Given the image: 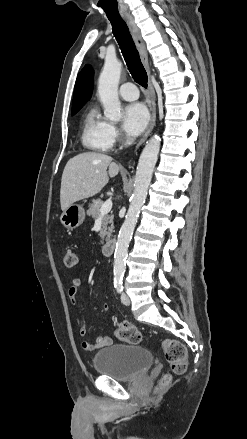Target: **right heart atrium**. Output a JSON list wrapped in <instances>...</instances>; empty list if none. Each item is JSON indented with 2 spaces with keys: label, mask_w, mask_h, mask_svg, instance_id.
Returning a JSON list of instances; mask_svg holds the SVG:
<instances>
[{
  "label": "right heart atrium",
  "mask_w": 247,
  "mask_h": 439,
  "mask_svg": "<svg viewBox=\"0 0 247 439\" xmlns=\"http://www.w3.org/2000/svg\"><path fill=\"white\" fill-rule=\"evenodd\" d=\"M109 133H110V137L113 140V142L118 140L120 137V133H119L117 127L113 124H110V126H109Z\"/></svg>",
  "instance_id": "obj_1"
}]
</instances>
